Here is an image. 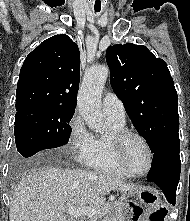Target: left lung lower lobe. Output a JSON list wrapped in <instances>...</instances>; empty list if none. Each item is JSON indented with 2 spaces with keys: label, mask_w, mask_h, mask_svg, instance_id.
Returning <instances> with one entry per match:
<instances>
[{
  "label": "left lung lower lobe",
  "mask_w": 190,
  "mask_h": 221,
  "mask_svg": "<svg viewBox=\"0 0 190 221\" xmlns=\"http://www.w3.org/2000/svg\"><path fill=\"white\" fill-rule=\"evenodd\" d=\"M179 149V139L161 144L153 153L151 170L147 176L148 181L154 182L162 189L172 205H175L176 189L181 172Z\"/></svg>",
  "instance_id": "left-lung-lower-lobe-1"
}]
</instances>
